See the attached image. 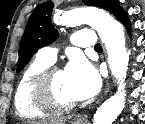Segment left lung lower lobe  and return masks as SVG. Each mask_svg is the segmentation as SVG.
<instances>
[{
    "instance_id": "1",
    "label": "left lung lower lobe",
    "mask_w": 145,
    "mask_h": 124,
    "mask_svg": "<svg viewBox=\"0 0 145 124\" xmlns=\"http://www.w3.org/2000/svg\"><path fill=\"white\" fill-rule=\"evenodd\" d=\"M117 19H119L126 27V29L128 31H130V23H129V20L127 18V15L124 11H122L118 16H117Z\"/></svg>"
}]
</instances>
